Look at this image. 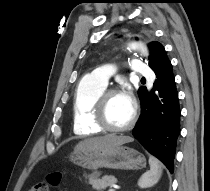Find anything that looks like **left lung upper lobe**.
Masks as SVG:
<instances>
[{
  "label": "left lung upper lobe",
  "instance_id": "left-lung-upper-lobe-1",
  "mask_svg": "<svg viewBox=\"0 0 210 191\" xmlns=\"http://www.w3.org/2000/svg\"><path fill=\"white\" fill-rule=\"evenodd\" d=\"M150 50H151V56L149 57V66H151L153 63L157 61L160 55L165 53V49L163 45L159 42L153 41L149 44ZM161 58V56H160Z\"/></svg>",
  "mask_w": 210,
  "mask_h": 191
}]
</instances>
